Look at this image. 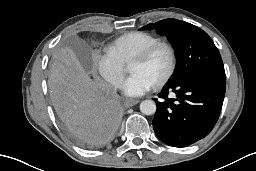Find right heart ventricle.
Returning a JSON list of instances; mask_svg holds the SVG:
<instances>
[{
  "label": "right heart ventricle",
  "mask_w": 256,
  "mask_h": 171,
  "mask_svg": "<svg viewBox=\"0 0 256 171\" xmlns=\"http://www.w3.org/2000/svg\"><path fill=\"white\" fill-rule=\"evenodd\" d=\"M159 41L153 34L132 31L113 40L107 47V51L114 54L123 64L130 63L140 51Z\"/></svg>",
  "instance_id": "right-heart-ventricle-1"
}]
</instances>
